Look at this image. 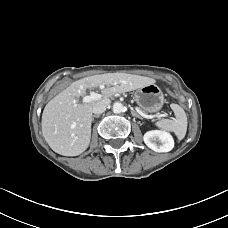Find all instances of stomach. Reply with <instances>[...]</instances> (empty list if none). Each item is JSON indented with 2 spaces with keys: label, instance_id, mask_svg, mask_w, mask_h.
Returning <instances> with one entry per match:
<instances>
[{
  "label": "stomach",
  "instance_id": "stomach-1",
  "mask_svg": "<svg viewBox=\"0 0 228 228\" xmlns=\"http://www.w3.org/2000/svg\"><path fill=\"white\" fill-rule=\"evenodd\" d=\"M135 101L144 112L156 113L164 105V96L157 85L149 84L136 91Z\"/></svg>",
  "mask_w": 228,
  "mask_h": 228
}]
</instances>
